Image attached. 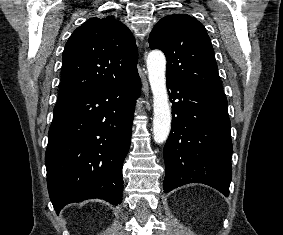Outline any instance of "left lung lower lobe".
Masks as SVG:
<instances>
[{
	"instance_id": "left-lung-lower-lobe-1",
	"label": "left lung lower lobe",
	"mask_w": 283,
	"mask_h": 235,
	"mask_svg": "<svg viewBox=\"0 0 283 235\" xmlns=\"http://www.w3.org/2000/svg\"><path fill=\"white\" fill-rule=\"evenodd\" d=\"M172 128L164 146L165 193L188 183L229 195L232 142L227 99L183 79L167 78Z\"/></svg>"
}]
</instances>
